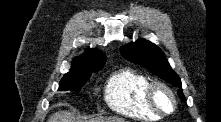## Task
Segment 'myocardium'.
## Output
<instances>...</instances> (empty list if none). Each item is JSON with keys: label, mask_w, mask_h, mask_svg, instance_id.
<instances>
[{"label": "myocardium", "mask_w": 221, "mask_h": 122, "mask_svg": "<svg viewBox=\"0 0 221 122\" xmlns=\"http://www.w3.org/2000/svg\"><path fill=\"white\" fill-rule=\"evenodd\" d=\"M158 90L165 91L171 98L172 108L170 111H165L159 106L157 102V98H156ZM146 100H147L149 107L160 116H169L173 114L176 111L177 105H178L176 95L174 91L172 90V88L165 82L159 81V80L151 81L149 85L147 86Z\"/></svg>", "instance_id": "myocardium-1"}]
</instances>
